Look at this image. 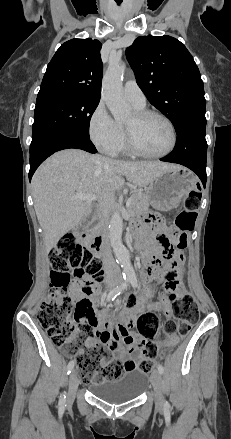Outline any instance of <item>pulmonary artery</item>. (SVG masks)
<instances>
[{
	"label": "pulmonary artery",
	"instance_id": "pulmonary-artery-1",
	"mask_svg": "<svg viewBox=\"0 0 231 439\" xmlns=\"http://www.w3.org/2000/svg\"><path fill=\"white\" fill-rule=\"evenodd\" d=\"M123 93L133 106L143 108L146 105V97L134 80H128L125 82Z\"/></svg>",
	"mask_w": 231,
	"mask_h": 439
}]
</instances>
